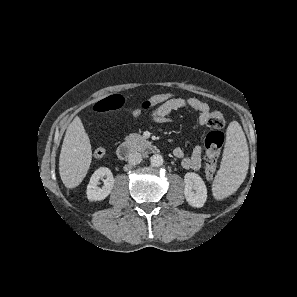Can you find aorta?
Returning <instances> with one entry per match:
<instances>
[{
  "label": "aorta",
  "instance_id": "762f6f07",
  "mask_svg": "<svg viewBox=\"0 0 297 297\" xmlns=\"http://www.w3.org/2000/svg\"><path fill=\"white\" fill-rule=\"evenodd\" d=\"M163 157L160 154H154L151 158H150V163L152 166L154 167H160L163 165Z\"/></svg>",
  "mask_w": 297,
  "mask_h": 297
}]
</instances>
